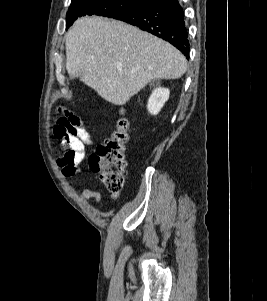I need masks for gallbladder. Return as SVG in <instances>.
I'll return each mask as SVG.
<instances>
[{
  "instance_id": "obj_1",
  "label": "gallbladder",
  "mask_w": 267,
  "mask_h": 301,
  "mask_svg": "<svg viewBox=\"0 0 267 301\" xmlns=\"http://www.w3.org/2000/svg\"><path fill=\"white\" fill-rule=\"evenodd\" d=\"M69 78H70V80H72V79H75L76 76L70 74V75H69Z\"/></svg>"
}]
</instances>
